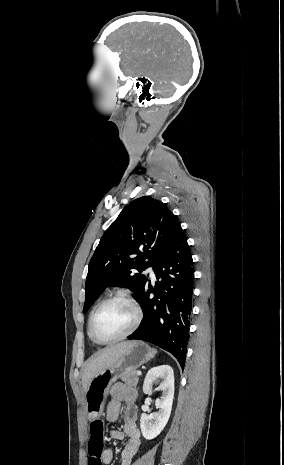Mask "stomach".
I'll list each match as a JSON object with an SVG mask.
<instances>
[{
    "instance_id": "obj_1",
    "label": "stomach",
    "mask_w": 284,
    "mask_h": 465,
    "mask_svg": "<svg viewBox=\"0 0 284 465\" xmlns=\"http://www.w3.org/2000/svg\"><path fill=\"white\" fill-rule=\"evenodd\" d=\"M153 357L154 351L148 345H145L142 341H131L127 351L121 355L119 361L113 367L104 369L88 383L87 391H85L87 419L95 421V419L101 417L110 387L122 373L135 371L140 365L148 363Z\"/></svg>"
}]
</instances>
